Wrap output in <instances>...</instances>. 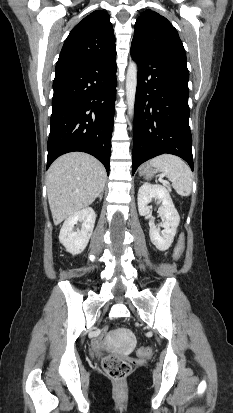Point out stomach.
I'll return each instance as SVG.
<instances>
[{
	"label": "stomach",
	"instance_id": "stomach-1",
	"mask_svg": "<svg viewBox=\"0 0 233 413\" xmlns=\"http://www.w3.org/2000/svg\"><path fill=\"white\" fill-rule=\"evenodd\" d=\"M156 173L157 171L150 164L143 165L139 170V175L146 179H151Z\"/></svg>",
	"mask_w": 233,
	"mask_h": 413
}]
</instances>
